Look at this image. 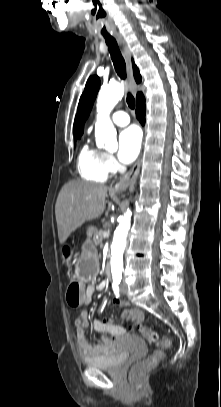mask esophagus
Returning <instances> with one entry per match:
<instances>
[{"label":"esophagus","instance_id":"34e87169","mask_svg":"<svg viewBox=\"0 0 221 407\" xmlns=\"http://www.w3.org/2000/svg\"><path fill=\"white\" fill-rule=\"evenodd\" d=\"M115 38L126 62L127 76L130 88L132 92L136 94L138 85L133 77L131 53L129 47L124 38L122 37V35H116ZM140 166H141V156L137 159L131 170L114 185L113 191L115 193H122L128 187L134 185L140 172Z\"/></svg>","mask_w":221,"mask_h":407}]
</instances>
